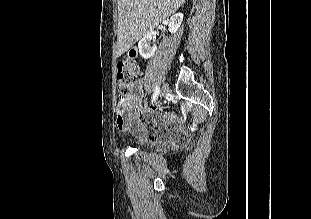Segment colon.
Returning <instances> with one entry per match:
<instances>
[{"label": "colon", "mask_w": 311, "mask_h": 219, "mask_svg": "<svg viewBox=\"0 0 311 219\" xmlns=\"http://www.w3.org/2000/svg\"><path fill=\"white\" fill-rule=\"evenodd\" d=\"M138 73V68L135 63L131 59H120L117 61L116 64V81H117V88L120 94V101L119 103H127L128 97L133 90L136 76ZM154 129V127H153ZM173 132L172 130L168 129L165 125H162L161 132ZM174 133V132H173ZM177 136L175 143L182 144L186 141V138L174 133ZM151 140H158L160 139L159 136H150Z\"/></svg>", "instance_id": "1"}]
</instances>
